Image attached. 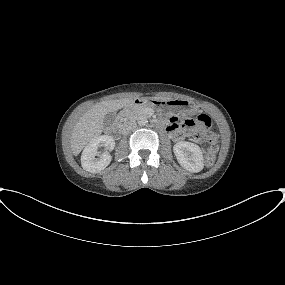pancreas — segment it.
Segmentation results:
<instances>
[{
	"label": "pancreas",
	"instance_id": "cf45deb5",
	"mask_svg": "<svg viewBox=\"0 0 285 285\" xmlns=\"http://www.w3.org/2000/svg\"><path fill=\"white\" fill-rule=\"evenodd\" d=\"M143 112V109L141 108H136L133 106H128L126 107L121 113H120V121H125L131 118H134L138 115H140Z\"/></svg>",
	"mask_w": 285,
	"mask_h": 285
}]
</instances>
